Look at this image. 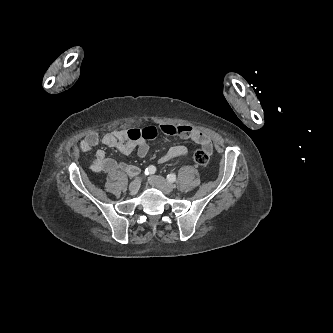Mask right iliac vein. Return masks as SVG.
I'll return each mask as SVG.
<instances>
[{
  "instance_id": "63e3f726",
  "label": "right iliac vein",
  "mask_w": 333,
  "mask_h": 333,
  "mask_svg": "<svg viewBox=\"0 0 333 333\" xmlns=\"http://www.w3.org/2000/svg\"><path fill=\"white\" fill-rule=\"evenodd\" d=\"M141 180L140 178H136L134 181H132L129 185V190L131 193L136 194L140 188Z\"/></svg>"
}]
</instances>
